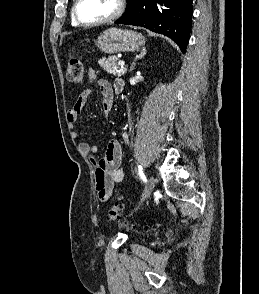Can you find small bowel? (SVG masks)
<instances>
[{
	"instance_id": "c3829d8e",
	"label": "small bowel",
	"mask_w": 259,
	"mask_h": 294,
	"mask_svg": "<svg viewBox=\"0 0 259 294\" xmlns=\"http://www.w3.org/2000/svg\"><path fill=\"white\" fill-rule=\"evenodd\" d=\"M88 79L93 82L96 79L95 72L90 70ZM124 83L121 79H116L113 85L106 80L99 81V89L101 93V107L103 112L107 115L111 111L113 105L114 94H118L123 90ZM91 95V89L87 88L82 91L77 97L74 105L67 112V119L70 124L77 121L79 114L82 112ZM73 138L78 137L76 130L72 131ZM125 141L128 142L127 127H124L123 134ZM80 149L95 165V183L97 197L101 202H106L112 195L115 183H120L125 178V173L121 168L122 164V145L118 139H112L108 143L107 149L103 157L99 160L95 156V148L89 144L80 143Z\"/></svg>"
}]
</instances>
